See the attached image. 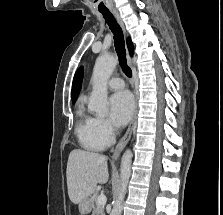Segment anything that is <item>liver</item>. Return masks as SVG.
Listing matches in <instances>:
<instances>
[{"label": "liver", "instance_id": "1", "mask_svg": "<svg viewBox=\"0 0 223 215\" xmlns=\"http://www.w3.org/2000/svg\"><path fill=\"white\" fill-rule=\"evenodd\" d=\"M66 173L68 195L73 203H80L94 193L97 183L108 181L107 157L93 151L72 149Z\"/></svg>", "mask_w": 223, "mask_h": 215}]
</instances>
